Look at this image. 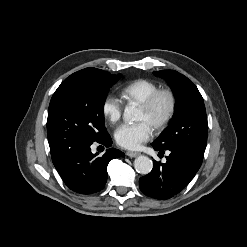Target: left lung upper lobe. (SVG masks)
Here are the masks:
<instances>
[{
	"label": "left lung upper lobe",
	"instance_id": "obj_1",
	"mask_svg": "<svg viewBox=\"0 0 247 247\" xmlns=\"http://www.w3.org/2000/svg\"><path fill=\"white\" fill-rule=\"evenodd\" d=\"M154 74L168 81L176 97L170 124L154 143L163 149L186 145L204 152L208 123L204 101L197 87L174 70L155 71Z\"/></svg>",
	"mask_w": 247,
	"mask_h": 247
}]
</instances>
